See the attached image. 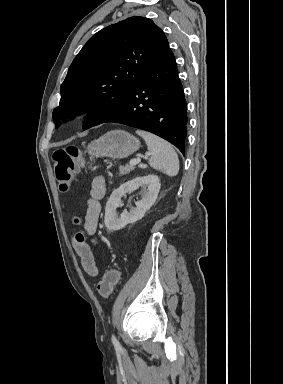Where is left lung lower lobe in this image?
Returning <instances> with one entry per match:
<instances>
[{"label": "left lung lower lobe", "mask_w": 283, "mask_h": 384, "mask_svg": "<svg viewBox=\"0 0 283 384\" xmlns=\"http://www.w3.org/2000/svg\"><path fill=\"white\" fill-rule=\"evenodd\" d=\"M105 122L149 131L166 139L185 154L187 107L170 48L136 83L124 104L101 123Z\"/></svg>", "instance_id": "obj_1"}]
</instances>
